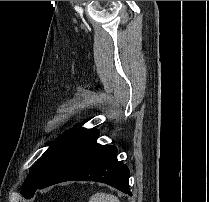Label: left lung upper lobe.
I'll use <instances>...</instances> for the list:
<instances>
[{"instance_id":"5c2ea615","label":"left lung upper lobe","mask_w":209,"mask_h":202,"mask_svg":"<svg viewBox=\"0 0 209 202\" xmlns=\"http://www.w3.org/2000/svg\"><path fill=\"white\" fill-rule=\"evenodd\" d=\"M73 132L74 131L72 130L62 135L61 138L54 141L47 149V151L42 155L41 159L26 178L22 186V194L25 198H28L33 193H35L39 185L46 177L48 171L50 170L52 163L58 154V151Z\"/></svg>"}]
</instances>
